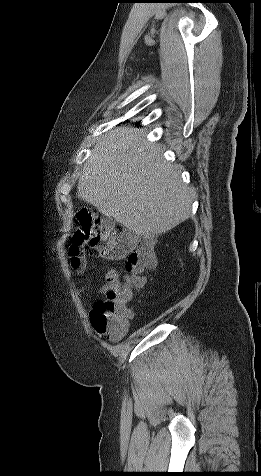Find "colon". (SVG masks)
<instances>
[{"mask_svg":"<svg viewBox=\"0 0 261 476\" xmlns=\"http://www.w3.org/2000/svg\"><path fill=\"white\" fill-rule=\"evenodd\" d=\"M90 249L95 256L107 261H125L128 279L119 290H109L105 298L97 300L91 311V322L97 333L110 339L124 335L132 318L129 302L133 288L143 286L144 273L156 266L153 241L139 240L126 231L116 229L104 218L88 209L77 213V221L69 245L72 267L80 271L84 252Z\"/></svg>","mask_w":261,"mask_h":476,"instance_id":"colon-1","label":"colon"}]
</instances>
